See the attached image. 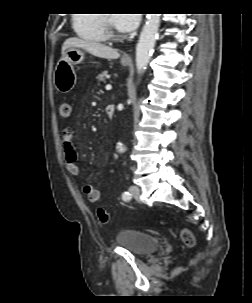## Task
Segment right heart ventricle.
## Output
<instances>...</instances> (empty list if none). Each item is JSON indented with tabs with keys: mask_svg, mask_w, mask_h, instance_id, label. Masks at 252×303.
<instances>
[{
	"mask_svg": "<svg viewBox=\"0 0 252 303\" xmlns=\"http://www.w3.org/2000/svg\"><path fill=\"white\" fill-rule=\"evenodd\" d=\"M73 25L76 32L86 39L102 41L106 37L101 14H78Z\"/></svg>",
	"mask_w": 252,
	"mask_h": 303,
	"instance_id": "1",
	"label": "right heart ventricle"
}]
</instances>
